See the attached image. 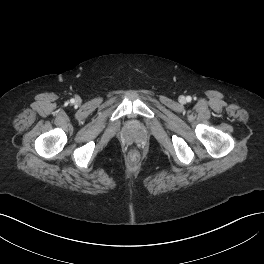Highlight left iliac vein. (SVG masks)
<instances>
[{
	"instance_id": "obj_1",
	"label": "left iliac vein",
	"mask_w": 264,
	"mask_h": 264,
	"mask_svg": "<svg viewBox=\"0 0 264 264\" xmlns=\"http://www.w3.org/2000/svg\"><path fill=\"white\" fill-rule=\"evenodd\" d=\"M180 100H181V102H184L185 101V98L184 97H181Z\"/></svg>"
}]
</instances>
